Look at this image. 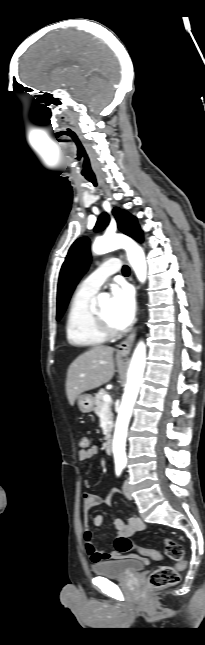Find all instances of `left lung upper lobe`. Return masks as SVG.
<instances>
[{"label": "left lung upper lobe", "instance_id": "5c2ea615", "mask_svg": "<svg viewBox=\"0 0 205 645\" xmlns=\"http://www.w3.org/2000/svg\"><path fill=\"white\" fill-rule=\"evenodd\" d=\"M112 214L121 232L138 242L142 241V231L135 217L126 210L118 207L112 210ZM109 220L110 218L107 213L101 214L96 223L95 230H103L108 225ZM90 260L89 239L87 237L77 239L70 247L60 271L57 291V320L63 315L75 286L88 269Z\"/></svg>", "mask_w": 205, "mask_h": 645}]
</instances>
